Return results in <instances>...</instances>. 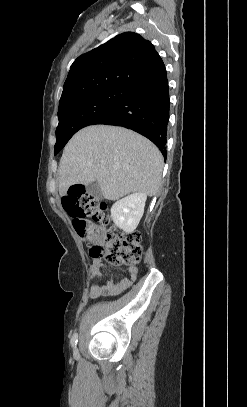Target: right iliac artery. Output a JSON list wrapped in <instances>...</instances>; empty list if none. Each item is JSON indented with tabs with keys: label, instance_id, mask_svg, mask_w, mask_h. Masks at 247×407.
<instances>
[{
	"label": "right iliac artery",
	"instance_id": "right-iliac-artery-1",
	"mask_svg": "<svg viewBox=\"0 0 247 407\" xmlns=\"http://www.w3.org/2000/svg\"><path fill=\"white\" fill-rule=\"evenodd\" d=\"M70 342H71L72 347H76L77 342H78V334L77 333L73 334Z\"/></svg>",
	"mask_w": 247,
	"mask_h": 407
}]
</instances>
